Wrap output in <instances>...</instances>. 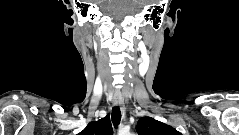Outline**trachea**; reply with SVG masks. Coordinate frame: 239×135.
<instances>
[{
  "instance_id": "obj_1",
  "label": "trachea",
  "mask_w": 239,
  "mask_h": 135,
  "mask_svg": "<svg viewBox=\"0 0 239 135\" xmlns=\"http://www.w3.org/2000/svg\"><path fill=\"white\" fill-rule=\"evenodd\" d=\"M111 118H112L114 127L117 128L121 121V111L118 106L113 107Z\"/></svg>"
}]
</instances>
